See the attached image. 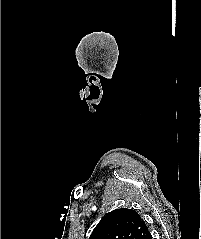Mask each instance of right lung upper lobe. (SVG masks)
<instances>
[{"label": "right lung upper lobe", "mask_w": 201, "mask_h": 239, "mask_svg": "<svg viewBox=\"0 0 201 239\" xmlns=\"http://www.w3.org/2000/svg\"><path fill=\"white\" fill-rule=\"evenodd\" d=\"M89 239H152V236L135 210L121 208L108 213Z\"/></svg>", "instance_id": "cb5924a9"}]
</instances>
